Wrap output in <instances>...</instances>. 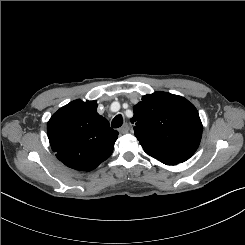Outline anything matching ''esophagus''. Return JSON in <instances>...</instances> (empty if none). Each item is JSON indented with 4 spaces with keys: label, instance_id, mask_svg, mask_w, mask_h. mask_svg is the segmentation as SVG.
Here are the masks:
<instances>
[{
    "label": "esophagus",
    "instance_id": "esophagus-1",
    "mask_svg": "<svg viewBox=\"0 0 245 245\" xmlns=\"http://www.w3.org/2000/svg\"><path fill=\"white\" fill-rule=\"evenodd\" d=\"M119 133L124 134L126 132H128V125L125 123L123 124L119 129H118Z\"/></svg>",
    "mask_w": 245,
    "mask_h": 245
}]
</instances>
